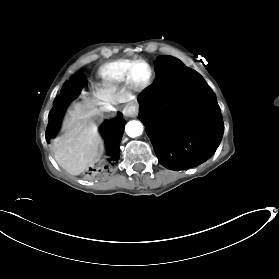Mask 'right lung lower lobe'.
I'll use <instances>...</instances> for the list:
<instances>
[{"mask_svg":"<svg viewBox=\"0 0 279 279\" xmlns=\"http://www.w3.org/2000/svg\"><path fill=\"white\" fill-rule=\"evenodd\" d=\"M84 83H86L85 76L81 79L72 78L64 83L61 94L55 98L53 103L54 106L49 114V124L46 129V140L48 143L51 138L56 136L62 115L67 105L80 93ZM123 131L124 121L118 119L110 121L105 127V135L110 142L109 149L112 155L109 160H118L120 158L118 145L121 141ZM90 171H96V169L90 168Z\"/></svg>","mask_w":279,"mask_h":279,"instance_id":"98d812e1","label":"right lung lower lobe"}]
</instances>
